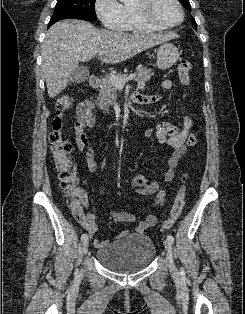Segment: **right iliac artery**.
I'll use <instances>...</instances> for the list:
<instances>
[{"instance_id": "right-iliac-artery-1", "label": "right iliac artery", "mask_w": 245, "mask_h": 314, "mask_svg": "<svg viewBox=\"0 0 245 314\" xmlns=\"http://www.w3.org/2000/svg\"><path fill=\"white\" fill-rule=\"evenodd\" d=\"M87 237H88V236H87V233H84V234H82L81 239L84 240V239H86Z\"/></svg>"}]
</instances>
